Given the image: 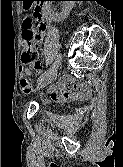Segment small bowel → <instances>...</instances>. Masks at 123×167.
Returning <instances> with one entry per match:
<instances>
[{
  "label": "small bowel",
  "instance_id": "obj_1",
  "mask_svg": "<svg viewBox=\"0 0 123 167\" xmlns=\"http://www.w3.org/2000/svg\"><path fill=\"white\" fill-rule=\"evenodd\" d=\"M23 9H32L31 1H24ZM45 33L46 30L43 32L42 38ZM40 72L41 64L39 66L32 65L20 70V88L24 94L31 92V85L28 77L33 73L39 74ZM48 94L49 98L47 101H86L91 97V89L85 83L79 82L72 77L65 76L48 89Z\"/></svg>",
  "mask_w": 123,
  "mask_h": 167
}]
</instances>
